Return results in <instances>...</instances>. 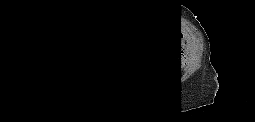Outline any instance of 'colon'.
I'll use <instances>...</instances> for the list:
<instances>
[{"mask_svg": "<svg viewBox=\"0 0 255 122\" xmlns=\"http://www.w3.org/2000/svg\"><path fill=\"white\" fill-rule=\"evenodd\" d=\"M131 15H136L135 11L129 10ZM137 16V15H136ZM164 34L167 40V47H169V53L172 62L176 66H181L185 57V45L182 41L180 32L172 25H165Z\"/></svg>", "mask_w": 255, "mask_h": 122, "instance_id": "1", "label": "colon"}]
</instances>
